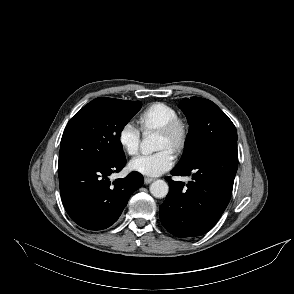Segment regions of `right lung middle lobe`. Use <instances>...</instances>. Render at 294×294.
<instances>
[{"label":"right lung middle lobe","mask_w":294,"mask_h":294,"mask_svg":"<svg viewBox=\"0 0 294 294\" xmlns=\"http://www.w3.org/2000/svg\"><path fill=\"white\" fill-rule=\"evenodd\" d=\"M140 101L99 97L68 122L60 144L58 168L100 164L125 158L120 135L140 110Z\"/></svg>","instance_id":"1"}]
</instances>
